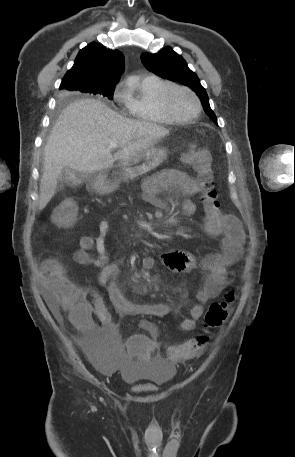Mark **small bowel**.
<instances>
[{
	"instance_id": "obj_1",
	"label": "small bowel",
	"mask_w": 295,
	"mask_h": 457,
	"mask_svg": "<svg viewBox=\"0 0 295 457\" xmlns=\"http://www.w3.org/2000/svg\"><path fill=\"white\" fill-rule=\"evenodd\" d=\"M162 191H178L185 197L184 211L192 214L195 205L191 197L198 192L197 181L179 170H164L145 181L140 199L159 209H165L167 203L159 194ZM206 232L215 237H221V251L205 256L198 263L193 255L184 251L170 250L161 255V260L168 268L177 272H189L200 267L206 272L203 287L197 292V303L190 309V317L184 319L180 327L183 331H191L196 322L204 314V305L209 300L216 298L228 286L227 268L240 258L245 243V233L240 221L233 215L223 214L219 210L204 205ZM109 236V221L104 219L99 225L96 237L83 236L79 240V248L74 253V260L80 265H93L101 268L98 278L99 284L105 287L114 309L121 315L140 317H164L171 313L169 303L137 304L127 300L118 284L120 268L116 264L108 263L106 239ZM95 249L97 257L91 256ZM155 259L145 257L143 265L147 269L153 268ZM42 283L45 288V298L53 314L61 319L60 305L52 290V279L43 273ZM81 311L77 320H71L79 333V338H114L116 326L111 313L107 309L103 298L95 290H81ZM87 297L90 300H87ZM96 315L100 324L95 323L92 315ZM141 328L148 330L150 341L155 342V351L160 344L156 340L157 328L147 319L140 322ZM172 347H168L170 351ZM202 353V352H201ZM199 353L197 356H199ZM195 356V357H197ZM170 363L176 360H168Z\"/></svg>"
}]
</instances>
